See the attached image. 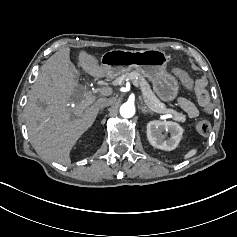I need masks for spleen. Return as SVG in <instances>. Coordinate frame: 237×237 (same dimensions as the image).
<instances>
[{"label":"spleen","instance_id":"obj_1","mask_svg":"<svg viewBox=\"0 0 237 237\" xmlns=\"http://www.w3.org/2000/svg\"><path fill=\"white\" fill-rule=\"evenodd\" d=\"M199 152L198 148H191L190 150H188L184 155H183V160H188L192 157H194L195 155H197V153Z\"/></svg>","mask_w":237,"mask_h":237}]
</instances>
